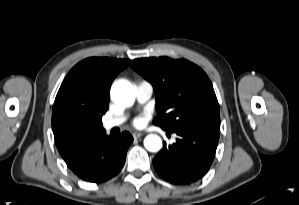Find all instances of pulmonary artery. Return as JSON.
Returning a JSON list of instances; mask_svg holds the SVG:
<instances>
[{
  "mask_svg": "<svg viewBox=\"0 0 299 205\" xmlns=\"http://www.w3.org/2000/svg\"><path fill=\"white\" fill-rule=\"evenodd\" d=\"M153 95V86L148 81H139L136 85V97L138 102L145 103ZM126 120L125 115H119L113 118L106 119L103 122V127L105 130H111L115 127L120 126Z\"/></svg>",
  "mask_w": 299,
  "mask_h": 205,
  "instance_id": "obj_1",
  "label": "pulmonary artery"
}]
</instances>
